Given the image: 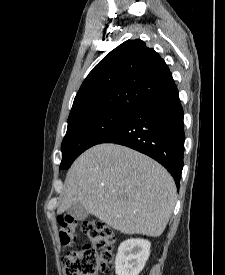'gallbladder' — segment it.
<instances>
[{
	"label": "gallbladder",
	"instance_id": "obj_1",
	"mask_svg": "<svg viewBox=\"0 0 225 275\" xmlns=\"http://www.w3.org/2000/svg\"><path fill=\"white\" fill-rule=\"evenodd\" d=\"M67 214L71 215L76 220H84L89 213L81 203L75 202L67 209Z\"/></svg>",
	"mask_w": 225,
	"mask_h": 275
}]
</instances>
